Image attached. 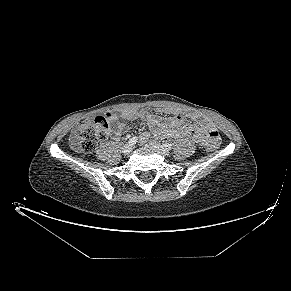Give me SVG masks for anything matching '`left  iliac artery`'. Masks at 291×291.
<instances>
[{"label": "left iliac artery", "instance_id": "left-iliac-artery-1", "mask_svg": "<svg viewBox=\"0 0 291 291\" xmlns=\"http://www.w3.org/2000/svg\"><path fill=\"white\" fill-rule=\"evenodd\" d=\"M163 147H165L166 149H171L172 148V144L171 143H164Z\"/></svg>", "mask_w": 291, "mask_h": 291}]
</instances>
